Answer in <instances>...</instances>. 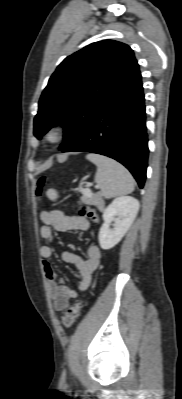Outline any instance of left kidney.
<instances>
[{"label": "left kidney", "instance_id": "left-kidney-1", "mask_svg": "<svg viewBox=\"0 0 182 399\" xmlns=\"http://www.w3.org/2000/svg\"><path fill=\"white\" fill-rule=\"evenodd\" d=\"M139 201L131 196L116 198L104 211V223L99 231V244L104 250L117 245L134 222L139 210ZM114 222V229H110Z\"/></svg>", "mask_w": 182, "mask_h": 399}]
</instances>
